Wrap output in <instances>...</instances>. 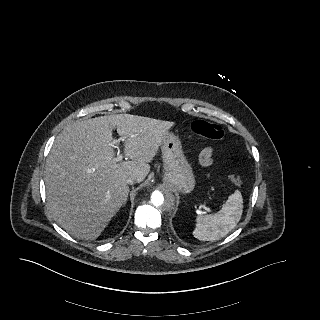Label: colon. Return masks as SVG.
I'll use <instances>...</instances> for the list:
<instances>
[{
  "instance_id": "5ec220e1",
  "label": "colon",
  "mask_w": 320,
  "mask_h": 320,
  "mask_svg": "<svg viewBox=\"0 0 320 320\" xmlns=\"http://www.w3.org/2000/svg\"><path fill=\"white\" fill-rule=\"evenodd\" d=\"M191 128L196 134L211 140H220L224 135L223 130L219 125L202 119L192 122ZM229 180L232 184L237 186L242 183L241 178L235 174H231Z\"/></svg>"
}]
</instances>
